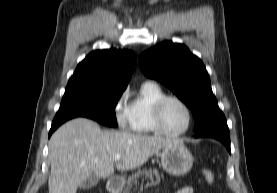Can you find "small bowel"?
<instances>
[{
	"instance_id": "c3829d8e",
	"label": "small bowel",
	"mask_w": 277,
	"mask_h": 193,
	"mask_svg": "<svg viewBox=\"0 0 277 193\" xmlns=\"http://www.w3.org/2000/svg\"><path fill=\"white\" fill-rule=\"evenodd\" d=\"M174 193H194V188L191 186H185V187L178 189Z\"/></svg>"
}]
</instances>
